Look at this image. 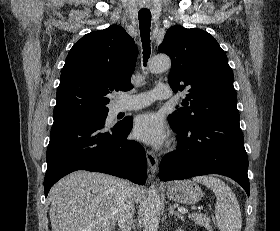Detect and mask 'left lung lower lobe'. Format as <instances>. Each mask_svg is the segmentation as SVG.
Masks as SVG:
<instances>
[{
  "label": "left lung lower lobe",
  "mask_w": 280,
  "mask_h": 231,
  "mask_svg": "<svg viewBox=\"0 0 280 231\" xmlns=\"http://www.w3.org/2000/svg\"><path fill=\"white\" fill-rule=\"evenodd\" d=\"M168 121L177 133L178 149L163 157L161 180L220 174L239 183L249 196L248 157L239 121H204L187 128Z\"/></svg>",
  "instance_id": "0a47b994"
}]
</instances>
